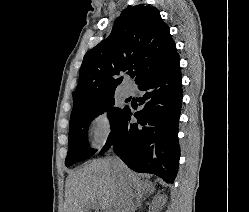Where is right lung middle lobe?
Instances as JSON below:
<instances>
[{
  "instance_id": "obj_1",
  "label": "right lung middle lobe",
  "mask_w": 249,
  "mask_h": 212,
  "mask_svg": "<svg viewBox=\"0 0 249 212\" xmlns=\"http://www.w3.org/2000/svg\"><path fill=\"white\" fill-rule=\"evenodd\" d=\"M114 103V95H112L94 104L72 110L69 125L68 153L65 160L67 167L94 155L95 150L89 148L87 130L90 122L95 117L108 111L107 116L112 128L123 116L126 107H114Z\"/></svg>"
}]
</instances>
